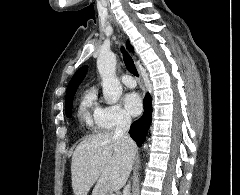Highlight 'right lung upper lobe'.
<instances>
[{
    "label": "right lung upper lobe",
    "instance_id": "1",
    "mask_svg": "<svg viewBox=\"0 0 240 195\" xmlns=\"http://www.w3.org/2000/svg\"><path fill=\"white\" fill-rule=\"evenodd\" d=\"M128 47L132 49V46L128 44ZM87 66H83L79 68L75 75L72 77L66 92V100H65V107L68 106L73 101V97L75 95L76 89L79 86V84L84 79L86 73H87Z\"/></svg>",
    "mask_w": 240,
    "mask_h": 195
}]
</instances>
